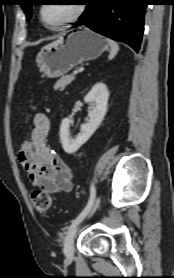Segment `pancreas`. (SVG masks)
<instances>
[{
  "mask_svg": "<svg viewBox=\"0 0 174 278\" xmlns=\"http://www.w3.org/2000/svg\"><path fill=\"white\" fill-rule=\"evenodd\" d=\"M75 77L73 75L62 76L54 85L55 90L63 91L67 85H69Z\"/></svg>",
  "mask_w": 174,
  "mask_h": 278,
  "instance_id": "cf45deb5",
  "label": "pancreas"
}]
</instances>
